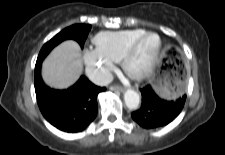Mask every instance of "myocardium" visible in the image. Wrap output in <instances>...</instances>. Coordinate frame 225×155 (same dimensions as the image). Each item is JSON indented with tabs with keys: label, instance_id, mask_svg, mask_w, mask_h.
<instances>
[{
	"label": "myocardium",
	"instance_id": "obj_1",
	"mask_svg": "<svg viewBox=\"0 0 225 155\" xmlns=\"http://www.w3.org/2000/svg\"><path fill=\"white\" fill-rule=\"evenodd\" d=\"M149 36H155L157 38V40H158L157 47H156L153 55L150 57V59L147 61V63L141 69L133 70L131 67V63L134 60L141 43ZM161 50H162L161 37L155 32H151V31L144 32L141 35H139L125 50V52L122 55V58L120 60L122 68L132 78H135L138 80L146 78L147 76H149L151 74L156 63L158 62V59L161 54Z\"/></svg>",
	"mask_w": 225,
	"mask_h": 155
}]
</instances>
